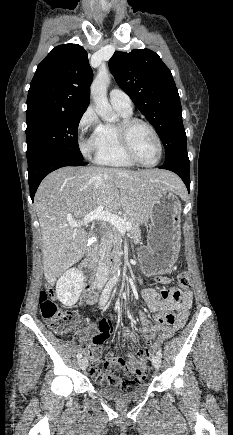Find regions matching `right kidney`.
<instances>
[{"instance_id": "ca27d5eb", "label": "right kidney", "mask_w": 233, "mask_h": 435, "mask_svg": "<svg viewBox=\"0 0 233 435\" xmlns=\"http://www.w3.org/2000/svg\"><path fill=\"white\" fill-rule=\"evenodd\" d=\"M83 285L82 272L76 268L69 269L57 281V298L63 305L73 306L81 295Z\"/></svg>"}]
</instances>
